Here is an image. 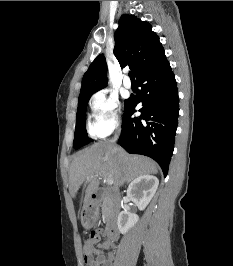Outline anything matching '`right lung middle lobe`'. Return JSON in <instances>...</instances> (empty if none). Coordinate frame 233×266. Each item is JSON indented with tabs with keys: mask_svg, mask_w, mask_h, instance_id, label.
Returning <instances> with one entry per match:
<instances>
[{
	"mask_svg": "<svg viewBox=\"0 0 233 266\" xmlns=\"http://www.w3.org/2000/svg\"><path fill=\"white\" fill-rule=\"evenodd\" d=\"M90 99V96L79 99L78 109H77V121L75 128V135L73 141V147L75 149L80 148L83 145H86L91 140L87 136L86 128H85V114L87 103Z\"/></svg>",
	"mask_w": 233,
	"mask_h": 266,
	"instance_id": "obj_1",
	"label": "right lung middle lobe"
}]
</instances>
